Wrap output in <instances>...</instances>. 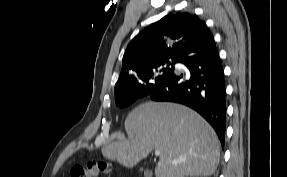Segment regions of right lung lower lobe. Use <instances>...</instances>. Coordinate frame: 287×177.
I'll return each mask as SVG.
<instances>
[{
    "mask_svg": "<svg viewBox=\"0 0 287 177\" xmlns=\"http://www.w3.org/2000/svg\"><path fill=\"white\" fill-rule=\"evenodd\" d=\"M178 62L188 68L189 74L173 71L144 96L154 101L181 103L194 109L211 124L224 146L226 88L220 57L209 29L184 48Z\"/></svg>",
    "mask_w": 287,
    "mask_h": 177,
    "instance_id": "1",
    "label": "right lung lower lobe"
}]
</instances>
